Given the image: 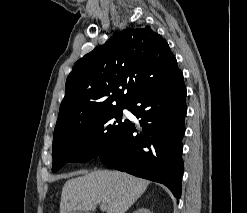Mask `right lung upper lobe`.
Here are the masks:
<instances>
[{"mask_svg":"<svg viewBox=\"0 0 247 213\" xmlns=\"http://www.w3.org/2000/svg\"><path fill=\"white\" fill-rule=\"evenodd\" d=\"M176 67L168 43L149 26L115 34L75 63L66 81L54 136L129 104L142 89Z\"/></svg>","mask_w":247,"mask_h":213,"instance_id":"cb5924a9","label":"right lung upper lobe"}]
</instances>
